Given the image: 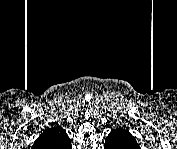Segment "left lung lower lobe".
Here are the masks:
<instances>
[{"label": "left lung lower lobe", "instance_id": "obj_1", "mask_svg": "<svg viewBox=\"0 0 177 149\" xmlns=\"http://www.w3.org/2000/svg\"><path fill=\"white\" fill-rule=\"evenodd\" d=\"M123 144H125L124 137L120 134L117 136H109L105 141V149H119L122 148Z\"/></svg>", "mask_w": 177, "mask_h": 149}]
</instances>
